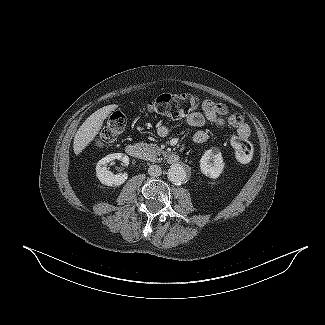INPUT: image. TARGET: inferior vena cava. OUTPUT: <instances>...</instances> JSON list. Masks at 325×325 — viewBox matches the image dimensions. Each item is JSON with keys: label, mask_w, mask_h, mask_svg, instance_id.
<instances>
[{"label": "inferior vena cava", "mask_w": 325, "mask_h": 325, "mask_svg": "<svg viewBox=\"0 0 325 325\" xmlns=\"http://www.w3.org/2000/svg\"><path fill=\"white\" fill-rule=\"evenodd\" d=\"M148 174L153 177H158L162 174L161 167L159 165H151L148 168Z\"/></svg>", "instance_id": "inferior-vena-cava-1"}]
</instances>
